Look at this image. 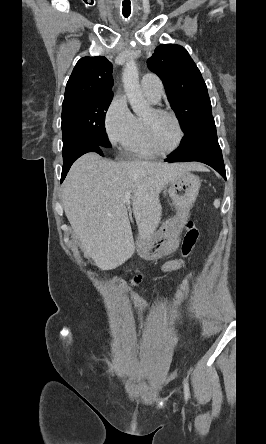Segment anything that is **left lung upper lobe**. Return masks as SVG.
<instances>
[{
  "label": "left lung upper lobe",
  "mask_w": 266,
  "mask_h": 444,
  "mask_svg": "<svg viewBox=\"0 0 266 444\" xmlns=\"http://www.w3.org/2000/svg\"><path fill=\"white\" fill-rule=\"evenodd\" d=\"M147 66L163 81L171 108L186 133L213 117L207 86L184 47L158 46L147 60Z\"/></svg>",
  "instance_id": "5c2ea615"
}]
</instances>
